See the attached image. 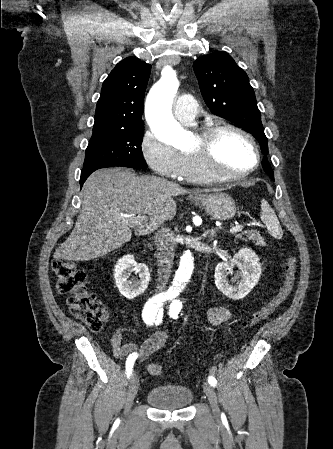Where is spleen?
Here are the masks:
<instances>
[{"instance_id":"3e777b00","label":"spleen","mask_w":333,"mask_h":449,"mask_svg":"<svg viewBox=\"0 0 333 449\" xmlns=\"http://www.w3.org/2000/svg\"><path fill=\"white\" fill-rule=\"evenodd\" d=\"M260 206H261V220L265 223L267 230L276 239H281L283 236V231L274 210L264 199L261 200Z\"/></svg>"}]
</instances>
